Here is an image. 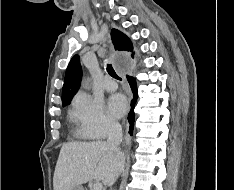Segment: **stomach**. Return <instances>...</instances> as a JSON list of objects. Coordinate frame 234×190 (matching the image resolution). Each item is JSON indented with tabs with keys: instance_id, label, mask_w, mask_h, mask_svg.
Here are the masks:
<instances>
[{
	"instance_id": "1",
	"label": "stomach",
	"mask_w": 234,
	"mask_h": 190,
	"mask_svg": "<svg viewBox=\"0 0 234 190\" xmlns=\"http://www.w3.org/2000/svg\"><path fill=\"white\" fill-rule=\"evenodd\" d=\"M72 190H84V188L81 185H77L73 187Z\"/></svg>"
}]
</instances>
